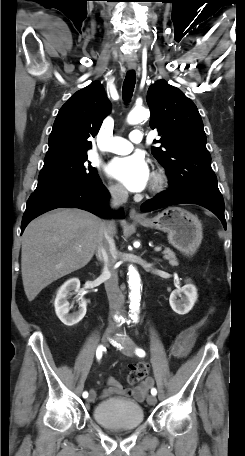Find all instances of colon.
<instances>
[{
    "label": "colon",
    "mask_w": 245,
    "mask_h": 456,
    "mask_svg": "<svg viewBox=\"0 0 245 456\" xmlns=\"http://www.w3.org/2000/svg\"><path fill=\"white\" fill-rule=\"evenodd\" d=\"M147 373L148 365L146 363H139L131 368L128 375V381L131 384H137L146 377Z\"/></svg>",
    "instance_id": "5ec220e1"
}]
</instances>
